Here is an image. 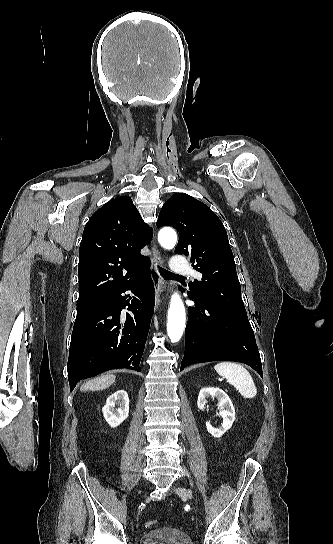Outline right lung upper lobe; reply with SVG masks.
<instances>
[{"label": "right lung upper lobe", "mask_w": 333, "mask_h": 544, "mask_svg": "<svg viewBox=\"0 0 333 544\" xmlns=\"http://www.w3.org/2000/svg\"><path fill=\"white\" fill-rule=\"evenodd\" d=\"M153 235L130 197L117 196L87 222L79 249L78 301L113 296L149 269L140 254Z\"/></svg>", "instance_id": "right-lung-upper-lobe-1"}]
</instances>
